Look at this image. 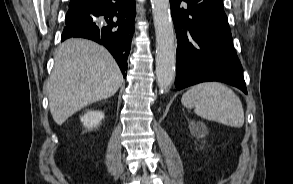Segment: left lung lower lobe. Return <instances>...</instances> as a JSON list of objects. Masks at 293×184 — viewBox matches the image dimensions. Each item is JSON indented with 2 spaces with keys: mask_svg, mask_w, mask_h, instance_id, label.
Segmentation results:
<instances>
[{
  "mask_svg": "<svg viewBox=\"0 0 293 184\" xmlns=\"http://www.w3.org/2000/svg\"><path fill=\"white\" fill-rule=\"evenodd\" d=\"M170 6L178 42L176 88L220 81L247 94L222 0H170Z\"/></svg>",
  "mask_w": 293,
  "mask_h": 184,
  "instance_id": "left-lung-lower-lobe-1",
  "label": "left lung lower lobe"
}]
</instances>
